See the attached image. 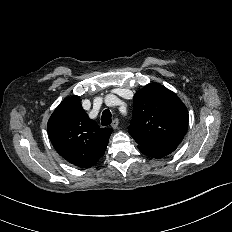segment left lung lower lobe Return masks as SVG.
<instances>
[{
	"label": "left lung lower lobe",
	"instance_id": "obj_1",
	"mask_svg": "<svg viewBox=\"0 0 232 232\" xmlns=\"http://www.w3.org/2000/svg\"><path fill=\"white\" fill-rule=\"evenodd\" d=\"M139 150L152 158H162L170 153H172L177 146H162V147H156V148H148V147H142L138 146Z\"/></svg>",
	"mask_w": 232,
	"mask_h": 232
}]
</instances>
